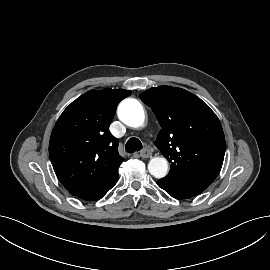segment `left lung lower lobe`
Wrapping results in <instances>:
<instances>
[{
    "instance_id": "1",
    "label": "left lung lower lobe",
    "mask_w": 270,
    "mask_h": 270,
    "mask_svg": "<svg viewBox=\"0 0 270 270\" xmlns=\"http://www.w3.org/2000/svg\"><path fill=\"white\" fill-rule=\"evenodd\" d=\"M157 184L169 195L177 199H185L193 197L201 193L210 185L206 182L195 179L182 182H171L160 179L157 181Z\"/></svg>"
}]
</instances>
